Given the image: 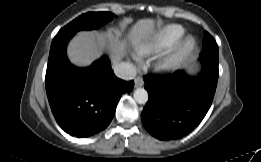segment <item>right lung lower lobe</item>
I'll list each match as a JSON object with an SVG mask.
<instances>
[{"mask_svg": "<svg viewBox=\"0 0 261 162\" xmlns=\"http://www.w3.org/2000/svg\"><path fill=\"white\" fill-rule=\"evenodd\" d=\"M74 35L54 37L45 84L59 126L71 136L82 138L110 124L121 95L131 92L134 82L117 78L106 56L87 68L73 66L66 56V46Z\"/></svg>", "mask_w": 261, "mask_h": 162, "instance_id": "right-lung-lower-lobe-1", "label": "right lung lower lobe"}]
</instances>
